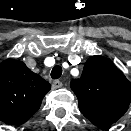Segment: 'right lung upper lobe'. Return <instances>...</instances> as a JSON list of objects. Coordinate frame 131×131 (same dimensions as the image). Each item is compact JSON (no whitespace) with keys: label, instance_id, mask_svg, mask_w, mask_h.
Listing matches in <instances>:
<instances>
[{"label":"right lung upper lobe","instance_id":"right-lung-upper-lobe-1","mask_svg":"<svg viewBox=\"0 0 131 131\" xmlns=\"http://www.w3.org/2000/svg\"><path fill=\"white\" fill-rule=\"evenodd\" d=\"M51 85L27 68L24 62L7 59L0 63V121L25 123L40 107Z\"/></svg>","mask_w":131,"mask_h":131}]
</instances>
